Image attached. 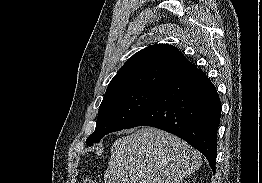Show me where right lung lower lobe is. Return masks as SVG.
Returning a JSON list of instances; mask_svg holds the SVG:
<instances>
[{
	"mask_svg": "<svg viewBox=\"0 0 262 183\" xmlns=\"http://www.w3.org/2000/svg\"><path fill=\"white\" fill-rule=\"evenodd\" d=\"M221 101L201 69H195L159 89L124 129L152 126L187 141L200 151L215 172Z\"/></svg>",
	"mask_w": 262,
	"mask_h": 183,
	"instance_id": "obj_1",
	"label": "right lung lower lobe"
}]
</instances>
